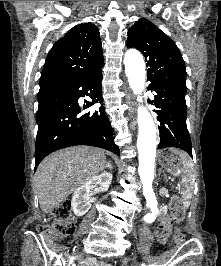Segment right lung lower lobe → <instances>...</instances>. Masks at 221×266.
Here are the masks:
<instances>
[{
  "label": "right lung lower lobe",
  "mask_w": 221,
  "mask_h": 266,
  "mask_svg": "<svg viewBox=\"0 0 221 266\" xmlns=\"http://www.w3.org/2000/svg\"><path fill=\"white\" fill-rule=\"evenodd\" d=\"M102 68L87 73L78 80L38 101V132L35 145V170L51 152L75 145L104 148L119 154L113 129L103 106L95 112L80 114L78 99L90 91L91 102L83 109L102 102Z\"/></svg>",
  "instance_id": "right-lung-lower-lobe-1"
}]
</instances>
